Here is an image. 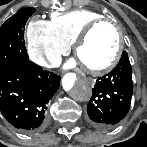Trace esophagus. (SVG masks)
<instances>
[{
    "instance_id": "1",
    "label": "esophagus",
    "mask_w": 147,
    "mask_h": 147,
    "mask_svg": "<svg viewBox=\"0 0 147 147\" xmlns=\"http://www.w3.org/2000/svg\"><path fill=\"white\" fill-rule=\"evenodd\" d=\"M87 82L90 84V85H94V80L93 79H87Z\"/></svg>"
}]
</instances>
